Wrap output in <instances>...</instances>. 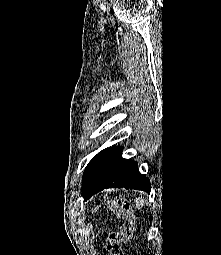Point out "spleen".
Segmentation results:
<instances>
[{
    "label": "spleen",
    "instance_id": "obj_1",
    "mask_svg": "<svg viewBox=\"0 0 221 255\" xmlns=\"http://www.w3.org/2000/svg\"><path fill=\"white\" fill-rule=\"evenodd\" d=\"M135 205H136V208H140V206H143V200L142 199H136Z\"/></svg>",
    "mask_w": 221,
    "mask_h": 255
}]
</instances>
